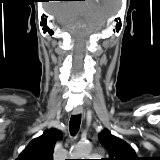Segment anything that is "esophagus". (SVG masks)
Listing matches in <instances>:
<instances>
[{"instance_id":"1","label":"esophagus","mask_w":160,"mask_h":160,"mask_svg":"<svg viewBox=\"0 0 160 160\" xmlns=\"http://www.w3.org/2000/svg\"><path fill=\"white\" fill-rule=\"evenodd\" d=\"M83 112V109H82V107H76V108H74L73 109V115H79V114H81Z\"/></svg>"}]
</instances>
